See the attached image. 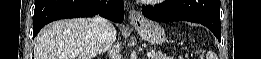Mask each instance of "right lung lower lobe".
<instances>
[{
	"mask_svg": "<svg viewBox=\"0 0 261 59\" xmlns=\"http://www.w3.org/2000/svg\"><path fill=\"white\" fill-rule=\"evenodd\" d=\"M99 14L113 22L124 19L123 0H36L33 38L46 24L64 18L92 17Z\"/></svg>",
	"mask_w": 261,
	"mask_h": 59,
	"instance_id": "98d812e1",
	"label": "right lung lower lobe"
}]
</instances>
